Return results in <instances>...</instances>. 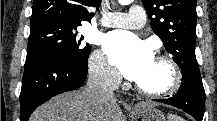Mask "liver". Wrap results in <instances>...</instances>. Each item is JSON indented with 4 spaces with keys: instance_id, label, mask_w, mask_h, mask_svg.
I'll use <instances>...</instances> for the list:
<instances>
[{
    "instance_id": "6515ba94",
    "label": "liver",
    "mask_w": 217,
    "mask_h": 121,
    "mask_svg": "<svg viewBox=\"0 0 217 121\" xmlns=\"http://www.w3.org/2000/svg\"><path fill=\"white\" fill-rule=\"evenodd\" d=\"M147 105H137L131 117L138 118L135 111ZM30 121H125V118L116 98L91 104L85 90H77L53 97L35 110Z\"/></svg>"
}]
</instances>
